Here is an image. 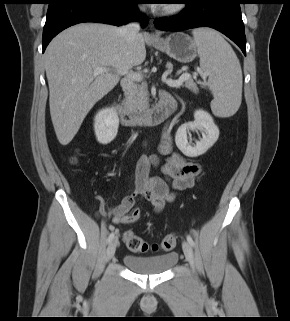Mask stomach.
Masks as SVG:
<instances>
[{"label":"stomach","instance_id":"1","mask_svg":"<svg viewBox=\"0 0 290 321\" xmlns=\"http://www.w3.org/2000/svg\"><path fill=\"white\" fill-rule=\"evenodd\" d=\"M151 44L180 63L192 62L197 55L194 41L181 32L172 33L165 39L151 41Z\"/></svg>","mask_w":290,"mask_h":321}]
</instances>
